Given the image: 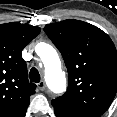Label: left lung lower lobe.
<instances>
[{"instance_id": "obj_1", "label": "left lung lower lobe", "mask_w": 117, "mask_h": 117, "mask_svg": "<svg viewBox=\"0 0 117 117\" xmlns=\"http://www.w3.org/2000/svg\"><path fill=\"white\" fill-rule=\"evenodd\" d=\"M54 111H55V114H56L57 117H72V116H70L68 114L60 113L57 110H54Z\"/></svg>"}]
</instances>
